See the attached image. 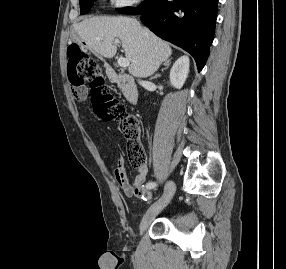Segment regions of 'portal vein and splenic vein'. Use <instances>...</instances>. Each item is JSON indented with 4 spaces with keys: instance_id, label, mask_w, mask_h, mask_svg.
<instances>
[{
    "instance_id": "1",
    "label": "portal vein and splenic vein",
    "mask_w": 286,
    "mask_h": 269,
    "mask_svg": "<svg viewBox=\"0 0 286 269\" xmlns=\"http://www.w3.org/2000/svg\"><path fill=\"white\" fill-rule=\"evenodd\" d=\"M99 39V38H98ZM115 43L116 44H119V40L118 39H116L115 40ZM117 63H118V65L120 66V67H128L129 66V61H128V59H126V58H123V57H121V58H119L118 60H117Z\"/></svg>"
}]
</instances>
